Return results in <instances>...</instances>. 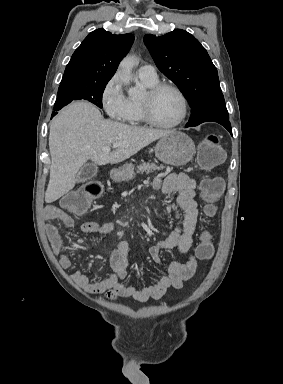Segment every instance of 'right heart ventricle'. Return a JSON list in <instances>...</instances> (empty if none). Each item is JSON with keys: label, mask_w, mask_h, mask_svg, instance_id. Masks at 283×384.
Here are the masks:
<instances>
[{"label": "right heart ventricle", "mask_w": 283, "mask_h": 384, "mask_svg": "<svg viewBox=\"0 0 283 384\" xmlns=\"http://www.w3.org/2000/svg\"><path fill=\"white\" fill-rule=\"evenodd\" d=\"M141 82L146 86L150 87L158 83L156 82H147L141 80ZM127 123L133 126L143 125L145 122L143 120L140 108V99H134L132 97L128 98V113H127Z\"/></svg>", "instance_id": "1"}]
</instances>
